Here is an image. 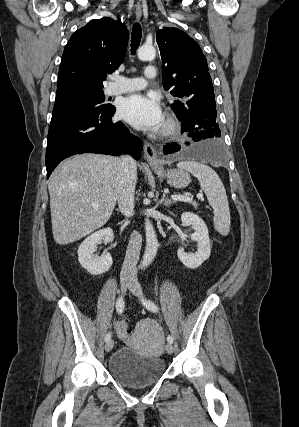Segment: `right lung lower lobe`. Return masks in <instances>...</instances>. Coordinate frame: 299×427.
<instances>
[{
	"label": "right lung lower lobe",
	"mask_w": 299,
	"mask_h": 427,
	"mask_svg": "<svg viewBox=\"0 0 299 427\" xmlns=\"http://www.w3.org/2000/svg\"><path fill=\"white\" fill-rule=\"evenodd\" d=\"M115 108L108 111L88 107L72 108L53 114L46 150L47 178L65 158L79 153L141 157L142 143L122 122L114 123Z\"/></svg>",
	"instance_id": "1"
}]
</instances>
